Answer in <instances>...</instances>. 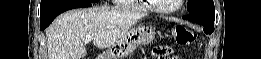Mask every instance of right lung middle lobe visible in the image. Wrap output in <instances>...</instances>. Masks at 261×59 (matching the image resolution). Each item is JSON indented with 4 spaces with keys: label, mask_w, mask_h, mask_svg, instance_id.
Wrapping results in <instances>:
<instances>
[{
    "label": "right lung middle lobe",
    "mask_w": 261,
    "mask_h": 59,
    "mask_svg": "<svg viewBox=\"0 0 261 59\" xmlns=\"http://www.w3.org/2000/svg\"><path fill=\"white\" fill-rule=\"evenodd\" d=\"M72 0H41V15L46 14L48 11L60 6L63 3ZM89 2H97L98 0H87Z\"/></svg>",
    "instance_id": "obj_1"
}]
</instances>
